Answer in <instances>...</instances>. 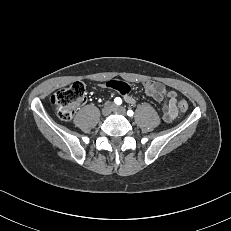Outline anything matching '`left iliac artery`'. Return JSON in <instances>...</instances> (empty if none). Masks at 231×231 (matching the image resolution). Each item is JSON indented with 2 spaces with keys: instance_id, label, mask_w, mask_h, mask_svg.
Here are the masks:
<instances>
[{
  "instance_id": "left-iliac-artery-1",
  "label": "left iliac artery",
  "mask_w": 231,
  "mask_h": 231,
  "mask_svg": "<svg viewBox=\"0 0 231 231\" xmlns=\"http://www.w3.org/2000/svg\"><path fill=\"white\" fill-rule=\"evenodd\" d=\"M133 114H134V113H133L132 110H128V111H127V115H128V116H133Z\"/></svg>"
}]
</instances>
